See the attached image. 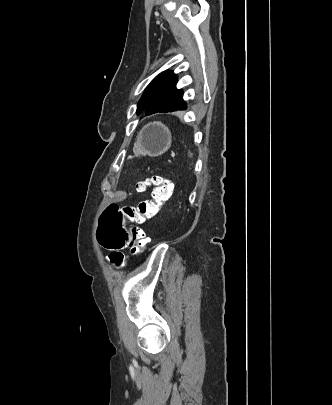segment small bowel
Returning a JSON list of instances; mask_svg holds the SVG:
<instances>
[{"label": "small bowel", "instance_id": "obj_1", "mask_svg": "<svg viewBox=\"0 0 332 405\" xmlns=\"http://www.w3.org/2000/svg\"><path fill=\"white\" fill-rule=\"evenodd\" d=\"M121 250H123V249H120V252H121ZM120 252H119L118 254H121ZM114 255H117V254H111V255H110L111 261H112V257H113Z\"/></svg>", "mask_w": 332, "mask_h": 405}]
</instances>
